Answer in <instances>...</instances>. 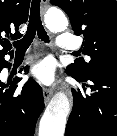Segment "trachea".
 Returning a JSON list of instances; mask_svg holds the SVG:
<instances>
[{
	"instance_id": "3493384b",
	"label": "trachea",
	"mask_w": 117,
	"mask_h": 136,
	"mask_svg": "<svg viewBox=\"0 0 117 136\" xmlns=\"http://www.w3.org/2000/svg\"><path fill=\"white\" fill-rule=\"evenodd\" d=\"M29 18L26 34L22 39L13 42L16 51L27 50L33 42L36 33L39 39L44 42H49V36L47 35L40 19V0H32Z\"/></svg>"
}]
</instances>
